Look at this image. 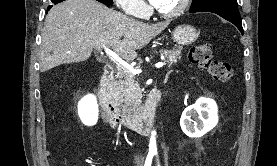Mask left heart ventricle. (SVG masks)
<instances>
[{"instance_id":"1","label":"left heart ventricle","mask_w":277,"mask_h":166,"mask_svg":"<svg viewBox=\"0 0 277 166\" xmlns=\"http://www.w3.org/2000/svg\"><path fill=\"white\" fill-rule=\"evenodd\" d=\"M180 3L181 0H161L157 8L161 11L168 12L176 9Z\"/></svg>"}]
</instances>
